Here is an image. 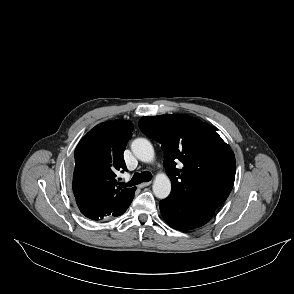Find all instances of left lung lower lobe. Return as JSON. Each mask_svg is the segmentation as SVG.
Returning <instances> with one entry per match:
<instances>
[{
  "instance_id": "0a47b994",
  "label": "left lung lower lobe",
  "mask_w": 294,
  "mask_h": 294,
  "mask_svg": "<svg viewBox=\"0 0 294 294\" xmlns=\"http://www.w3.org/2000/svg\"><path fill=\"white\" fill-rule=\"evenodd\" d=\"M160 211L164 220L173 228L191 230L205 225L215 209L202 206L195 200L170 194L160 201Z\"/></svg>"
}]
</instances>
